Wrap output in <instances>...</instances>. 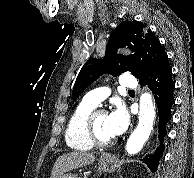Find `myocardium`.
Here are the masks:
<instances>
[{
    "label": "myocardium",
    "instance_id": "obj_1",
    "mask_svg": "<svg viewBox=\"0 0 194 178\" xmlns=\"http://www.w3.org/2000/svg\"><path fill=\"white\" fill-rule=\"evenodd\" d=\"M106 113L107 111L103 108H95L88 114L85 120V130H86L87 137L94 146L108 147L112 145L115 141L114 138L103 140L98 136L96 132L95 121L97 116L101 114H106Z\"/></svg>",
    "mask_w": 194,
    "mask_h": 178
}]
</instances>
